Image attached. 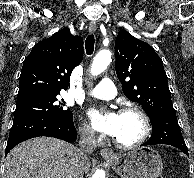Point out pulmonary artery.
Returning a JSON list of instances; mask_svg holds the SVG:
<instances>
[{
	"label": "pulmonary artery",
	"mask_w": 194,
	"mask_h": 178,
	"mask_svg": "<svg viewBox=\"0 0 194 178\" xmlns=\"http://www.w3.org/2000/svg\"><path fill=\"white\" fill-rule=\"evenodd\" d=\"M116 93L114 82L109 78H104L94 89L88 91L87 95L98 99L110 100L115 97Z\"/></svg>",
	"instance_id": "e3ab8cb5"
}]
</instances>
